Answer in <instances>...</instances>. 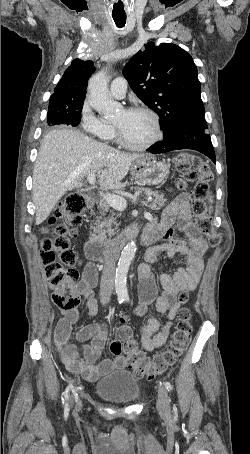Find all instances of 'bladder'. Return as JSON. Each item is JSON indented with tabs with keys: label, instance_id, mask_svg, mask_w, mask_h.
<instances>
[{
	"label": "bladder",
	"instance_id": "obj_1",
	"mask_svg": "<svg viewBox=\"0 0 250 454\" xmlns=\"http://www.w3.org/2000/svg\"><path fill=\"white\" fill-rule=\"evenodd\" d=\"M95 394L111 404H130L135 402L141 392L138 379L127 370L110 373L94 385Z\"/></svg>",
	"mask_w": 250,
	"mask_h": 454
}]
</instances>
